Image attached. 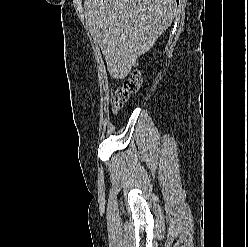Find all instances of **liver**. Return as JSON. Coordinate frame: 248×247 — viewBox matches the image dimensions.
<instances>
[{
  "mask_svg": "<svg viewBox=\"0 0 248 247\" xmlns=\"http://www.w3.org/2000/svg\"><path fill=\"white\" fill-rule=\"evenodd\" d=\"M90 33L102 50L107 70L124 79L171 25L175 0H84Z\"/></svg>",
  "mask_w": 248,
  "mask_h": 247,
  "instance_id": "obj_1",
  "label": "liver"
}]
</instances>
